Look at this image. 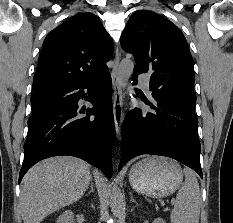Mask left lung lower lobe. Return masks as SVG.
<instances>
[{
	"label": "left lung lower lobe",
	"mask_w": 233,
	"mask_h": 223,
	"mask_svg": "<svg viewBox=\"0 0 233 223\" xmlns=\"http://www.w3.org/2000/svg\"><path fill=\"white\" fill-rule=\"evenodd\" d=\"M134 72L133 84L137 83ZM154 113L135 108L127 113L122 128L121 165L141 154L173 158L203 178L195 103L177 99H155Z\"/></svg>",
	"instance_id": "obj_1"
}]
</instances>
